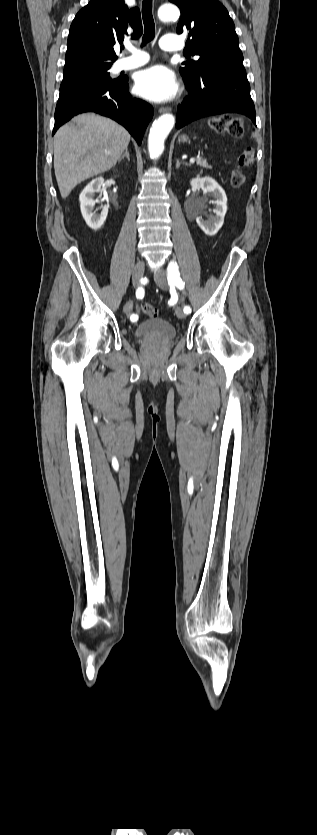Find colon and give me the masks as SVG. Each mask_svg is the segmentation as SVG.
I'll return each instance as SVG.
<instances>
[{
	"mask_svg": "<svg viewBox=\"0 0 317 835\" xmlns=\"http://www.w3.org/2000/svg\"><path fill=\"white\" fill-rule=\"evenodd\" d=\"M210 128L217 134H228L234 138H241L244 135L243 122L239 118H232L230 116H223L213 118L209 121ZM255 158V151L251 147H245L237 160L236 166L231 172L230 183L234 188L240 187L245 179L244 168L253 165ZM142 311L149 317H156L158 315L157 309L148 303L141 305Z\"/></svg>",
	"mask_w": 317,
	"mask_h": 835,
	"instance_id": "1",
	"label": "colon"
}]
</instances>
